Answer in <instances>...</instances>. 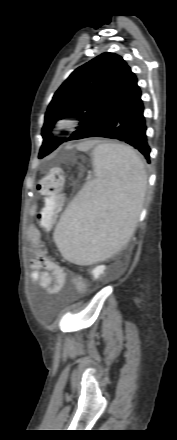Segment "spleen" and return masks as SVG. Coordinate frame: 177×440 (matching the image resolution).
Returning a JSON list of instances; mask_svg holds the SVG:
<instances>
[{"label": "spleen", "mask_w": 177, "mask_h": 440, "mask_svg": "<svg viewBox=\"0 0 177 440\" xmlns=\"http://www.w3.org/2000/svg\"><path fill=\"white\" fill-rule=\"evenodd\" d=\"M96 178L62 213L53 239L68 261L88 265L120 251L133 235L146 188L144 164L129 147L98 145Z\"/></svg>", "instance_id": "3e777b00"}]
</instances>
